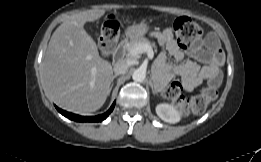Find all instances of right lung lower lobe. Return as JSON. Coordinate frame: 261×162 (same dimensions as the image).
Masks as SVG:
<instances>
[{
    "mask_svg": "<svg viewBox=\"0 0 261 162\" xmlns=\"http://www.w3.org/2000/svg\"><path fill=\"white\" fill-rule=\"evenodd\" d=\"M114 106H115V102L112 104V106L110 107V109L107 112H105L104 114L98 115V116H80V115H77V114H73V113L61 110L58 107H56V109L63 116H65V117H67L71 120H74V121H78V122H101L104 119H106L108 117V115L113 111Z\"/></svg>",
    "mask_w": 261,
    "mask_h": 162,
    "instance_id": "98d812e1",
    "label": "right lung lower lobe"
}]
</instances>
